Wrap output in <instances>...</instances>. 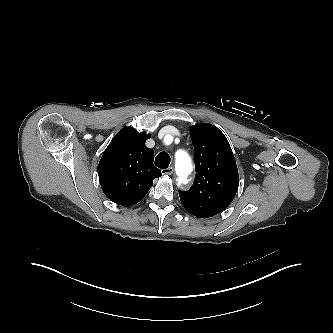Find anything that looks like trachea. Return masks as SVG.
<instances>
[{
    "instance_id": "trachea-1",
    "label": "trachea",
    "mask_w": 333,
    "mask_h": 333,
    "mask_svg": "<svg viewBox=\"0 0 333 333\" xmlns=\"http://www.w3.org/2000/svg\"><path fill=\"white\" fill-rule=\"evenodd\" d=\"M170 161H171V159H170L169 154L166 152H161L155 158V165L158 168L166 169V168H168Z\"/></svg>"
}]
</instances>
